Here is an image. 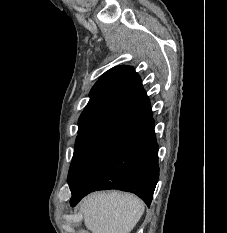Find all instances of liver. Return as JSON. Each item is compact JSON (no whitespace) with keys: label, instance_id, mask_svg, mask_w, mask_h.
Returning <instances> with one entry per match:
<instances>
[{"label":"liver","instance_id":"1","mask_svg":"<svg viewBox=\"0 0 227 233\" xmlns=\"http://www.w3.org/2000/svg\"><path fill=\"white\" fill-rule=\"evenodd\" d=\"M84 224L92 233H130L144 213L133 194L113 191L91 194L80 203Z\"/></svg>","mask_w":227,"mask_h":233}]
</instances>
